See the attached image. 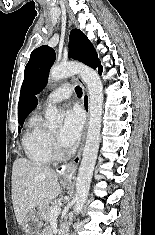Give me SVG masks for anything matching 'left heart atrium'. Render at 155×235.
I'll use <instances>...</instances> for the list:
<instances>
[{
	"label": "left heart atrium",
	"mask_w": 155,
	"mask_h": 235,
	"mask_svg": "<svg viewBox=\"0 0 155 235\" xmlns=\"http://www.w3.org/2000/svg\"><path fill=\"white\" fill-rule=\"evenodd\" d=\"M84 126V116L78 108H72L66 111L64 123L59 133L61 144L70 148L79 140Z\"/></svg>",
	"instance_id": "obj_1"
}]
</instances>
